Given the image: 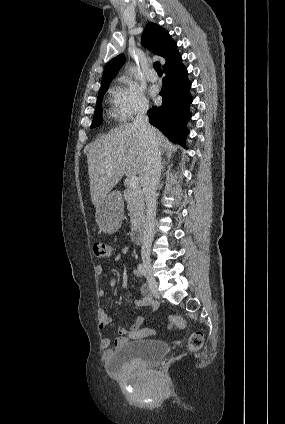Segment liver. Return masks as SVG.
I'll list each match as a JSON object with an SVG mask.
<instances>
[{
	"label": "liver",
	"mask_w": 285,
	"mask_h": 424,
	"mask_svg": "<svg viewBox=\"0 0 285 424\" xmlns=\"http://www.w3.org/2000/svg\"><path fill=\"white\" fill-rule=\"evenodd\" d=\"M159 147L167 142L153 128ZM88 174L92 203L97 207L123 175H138L140 183L146 171V149L139 130L133 123L123 124L96 139L87 149Z\"/></svg>",
	"instance_id": "obj_1"
}]
</instances>
